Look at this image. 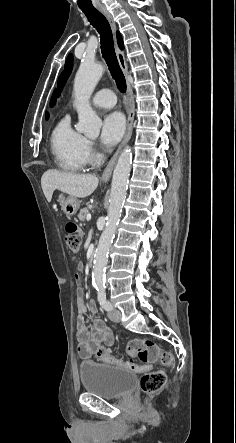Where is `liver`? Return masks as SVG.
I'll use <instances>...</instances> for the list:
<instances>
[{
  "mask_svg": "<svg viewBox=\"0 0 236 443\" xmlns=\"http://www.w3.org/2000/svg\"><path fill=\"white\" fill-rule=\"evenodd\" d=\"M99 180L91 174H75L58 170H47L41 178V187L48 202L58 189L75 198H85L97 188Z\"/></svg>",
  "mask_w": 236,
  "mask_h": 443,
  "instance_id": "6515ba94",
  "label": "liver"
}]
</instances>
